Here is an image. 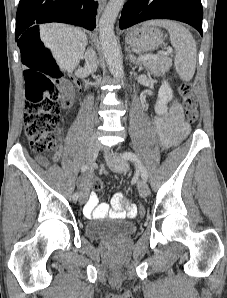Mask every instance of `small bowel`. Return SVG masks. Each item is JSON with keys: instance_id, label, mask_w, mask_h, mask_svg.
<instances>
[{"instance_id": "small-bowel-1", "label": "small bowel", "mask_w": 227, "mask_h": 298, "mask_svg": "<svg viewBox=\"0 0 227 298\" xmlns=\"http://www.w3.org/2000/svg\"><path fill=\"white\" fill-rule=\"evenodd\" d=\"M153 125L161 145L165 148H170L181 143L190 131L189 125L184 121L182 107L176 101L171 103L165 114L154 117ZM59 156V154H56L55 159L58 160ZM37 160L42 165H47L46 158L37 156ZM87 186V201L83 208V213L87 218H104L109 215L124 218L127 215L133 216L136 214V204H129L125 208L126 202L121 194H116L113 197L111 208L106 203H99L95 193L89 194V182L86 178L81 181V194L85 192Z\"/></svg>"}]
</instances>
